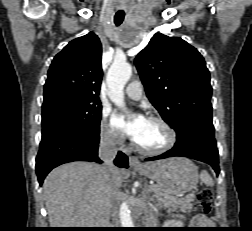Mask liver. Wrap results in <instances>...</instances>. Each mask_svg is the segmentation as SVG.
Instances as JSON below:
<instances>
[{
    "label": "liver",
    "instance_id": "liver-1",
    "mask_svg": "<svg viewBox=\"0 0 252 231\" xmlns=\"http://www.w3.org/2000/svg\"><path fill=\"white\" fill-rule=\"evenodd\" d=\"M119 190L125 171L113 174ZM110 177L105 167L72 162L51 171L43 195L51 228H104L110 217Z\"/></svg>",
    "mask_w": 252,
    "mask_h": 231
}]
</instances>
